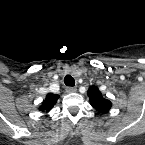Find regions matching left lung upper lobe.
Listing matches in <instances>:
<instances>
[{"label":"left lung upper lobe","instance_id":"obj_1","mask_svg":"<svg viewBox=\"0 0 145 145\" xmlns=\"http://www.w3.org/2000/svg\"><path fill=\"white\" fill-rule=\"evenodd\" d=\"M87 93L91 105L99 113H107L110 110L112 103L102 96L97 86H91Z\"/></svg>","mask_w":145,"mask_h":145}]
</instances>
